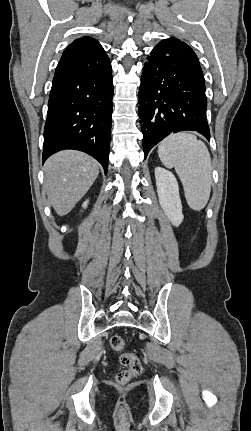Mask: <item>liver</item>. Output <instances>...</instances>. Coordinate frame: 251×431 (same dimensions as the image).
Returning <instances> with one entry per match:
<instances>
[{
  "instance_id": "6515ba94",
  "label": "liver",
  "mask_w": 251,
  "mask_h": 431,
  "mask_svg": "<svg viewBox=\"0 0 251 431\" xmlns=\"http://www.w3.org/2000/svg\"><path fill=\"white\" fill-rule=\"evenodd\" d=\"M44 188L59 216L68 214L83 198L99 174V163L74 150L52 155L44 165Z\"/></svg>"
}]
</instances>
